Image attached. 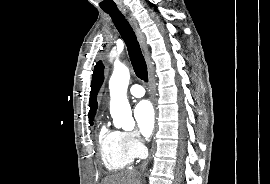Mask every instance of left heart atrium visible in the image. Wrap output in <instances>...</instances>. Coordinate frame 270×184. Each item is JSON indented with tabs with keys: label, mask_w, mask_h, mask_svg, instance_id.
I'll return each instance as SVG.
<instances>
[{
	"label": "left heart atrium",
	"mask_w": 270,
	"mask_h": 184,
	"mask_svg": "<svg viewBox=\"0 0 270 184\" xmlns=\"http://www.w3.org/2000/svg\"><path fill=\"white\" fill-rule=\"evenodd\" d=\"M134 117L139 134L144 138H149L153 132L155 124V113L150 102H139L135 107Z\"/></svg>",
	"instance_id": "left-heart-atrium-1"
}]
</instances>
